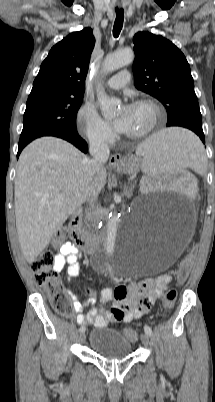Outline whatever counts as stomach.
I'll use <instances>...</instances> for the list:
<instances>
[{"label": "stomach", "instance_id": "obj_1", "mask_svg": "<svg viewBox=\"0 0 215 402\" xmlns=\"http://www.w3.org/2000/svg\"><path fill=\"white\" fill-rule=\"evenodd\" d=\"M139 169H140V162L136 157L126 158L121 166L115 168L116 171L129 175L136 174L139 171Z\"/></svg>", "mask_w": 215, "mask_h": 402}]
</instances>
